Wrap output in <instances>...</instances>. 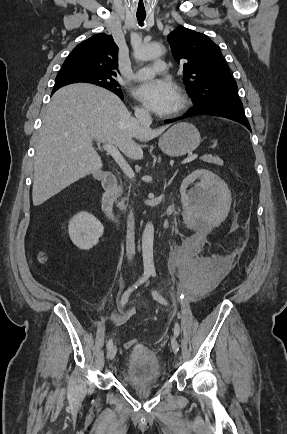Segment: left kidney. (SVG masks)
I'll return each instance as SVG.
<instances>
[{
	"mask_svg": "<svg viewBox=\"0 0 287 434\" xmlns=\"http://www.w3.org/2000/svg\"><path fill=\"white\" fill-rule=\"evenodd\" d=\"M196 179L200 182L187 193V187ZM180 194L185 209L190 208L197 216H207L216 223L225 218L232 201L227 184L206 169H198L188 175L182 181Z\"/></svg>",
	"mask_w": 287,
	"mask_h": 434,
	"instance_id": "1",
	"label": "left kidney"
}]
</instances>
